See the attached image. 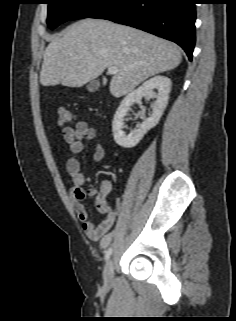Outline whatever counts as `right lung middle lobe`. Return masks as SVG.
<instances>
[{"label":"right lung middle lobe","instance_id":"dd1d6c3e","mask_svg":"<svg viewBox=\"0 0 236 321\" xmlns=\"http://www.w3.org/2000/svg\"><path fill=\"white\" fill-rule=\"evenodd\" d=\"M111 0H46L47 24L51 29L68 20L86 18L104 8Z\"/></svg>","mask_w":236,"mask_h":321}]
</instances>
